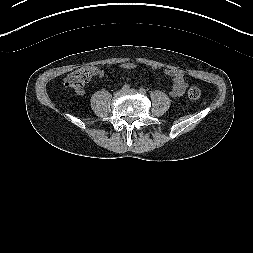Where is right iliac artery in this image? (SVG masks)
Returning a JSON list of instances; mask_svg holds the SVG:
<instances>
[{
  "instance_id": "obj_1",
  "label": "right iliac artery",
  "mask_w": 253,
  "mask_h": 253,
  "mask_svg": "<svg viewBox=\"0 0 253 253\" xmlns=\"http://www.w3.org/2000/svg\"><path fill=\"white\" fill-rule=\"evenodd\" d=\"M130 88V86L128 85V84H125V85H123V87H122V90H127V89H129Z\"/></svg>"
}]
</instances>
